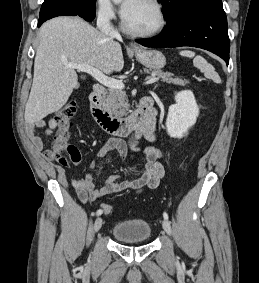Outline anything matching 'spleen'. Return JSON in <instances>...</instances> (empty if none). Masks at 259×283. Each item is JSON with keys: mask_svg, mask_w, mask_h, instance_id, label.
Wrapping results in <instances>:
<instances>
[{"mask_svg": "<svg viewBox=\"0 0 259 283\" xmlns=\"http://www.w3.org/2000/svg\"><path fill=\"white\" fill-rule=\"evenodd\" d=\"M180 55L188 58H194L193 59L194 66L200 69V71L203 72L206 77L218 83L221 81L214 67L211 64H209L203 57L195 56V53L189 50L181 51Z\"/></svg>", "mask_w": 259, "mask_h": 283, "instance_id": "1", "label": "spleen"}]
</instances>
